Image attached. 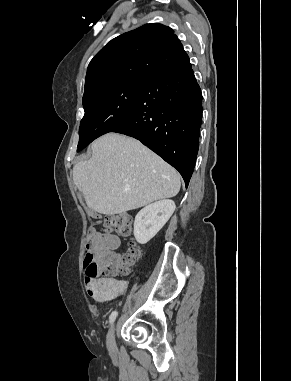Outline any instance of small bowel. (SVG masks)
I'll list each match as a JSON object with an SVG mask.
<instances>
[{"mask_svg": "<svg viewBox=\"0 0 291 381\" xmlns=\"http://www.w3.org/2000/svg\"><path fill=\"white\" fill-rule=\"evenodd\" d=\"M91 238L101 251H113L120 246V239L116 235L104 234L97 230L91 231ZM87 294L96 302L113 300L126 292L127 282L114 277H85Z\"/></svg>", "mask_w": 291, "mask_h": 381, "instance_id": "small-bowel-1", "label": "small bowel"}]
</instances>
